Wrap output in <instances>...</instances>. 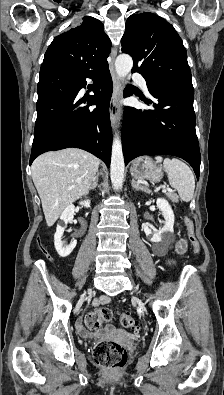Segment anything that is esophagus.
I'll use <instances>...</instances> for the list:
<instances>
[{
  "label": "esophagus",
  "mask_w": 224,
  "mask_h": 395,
  "mask_svg": "<svg viewBox=\"0 0 224 395\" xmlns=\"http://www.w3.org/2000/svg\"><path fill=\"white\" fill-rule=\"evenodd\" d=\"M116 55H117V49L112 48L111 55H110L111 61L109 63V70H110V74H111L112 81H113V94H112L110 104H109V114H110V121H111L113 128H117V125L119 123L118 100L121 96V86H120V82H119L118 76L115 71V66H114Z\"/></svg>",
  "instance_id": "obj_1"
}]
</instances>
